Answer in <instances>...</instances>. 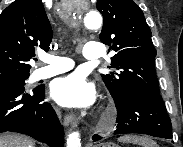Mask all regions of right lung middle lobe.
Wrapping results in <instances>:
<instances>
[{"label":"right lung middle lobe","mask_w":183,"mask_h":147,"mask_svg":"<svg viewBox=\"0 0 183 147\" xmlns=\"http://www.w3.org/2000/svg\"><path fill=\"white\" fill-rule=\"evenodd\" d=\"M28 77L29 76H27V77H21V78H16V79H10V80H6V81H1L0 82V86L9 85V84L25 85V80Z\"/></svg>","instance_id":"dd1d6c3e"}]
</instances>
